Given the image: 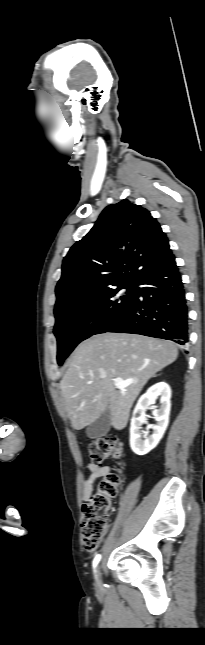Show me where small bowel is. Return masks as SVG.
<instances>
[{"label": "small bowel", "mask_w": 205, "mask_h": 645, "mask_svg": "<svg viewBox=\"0 0 205 645\" xmlns=\"http://www.w3.org/2000/svg\"><path fill=\"white\" fill-rule=\"evenodd\" d=\"M88 469H89V476L84 480V483H83L82 498L84 501L88 500L89 497L91 496L95 481L98 478L109 474L111 470L109 466H105V465L100 466L95 464H89Z\"/></svg>", "instance_id": "1"}]
</instances>
